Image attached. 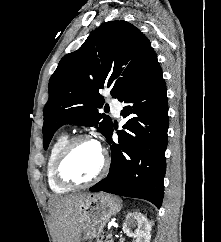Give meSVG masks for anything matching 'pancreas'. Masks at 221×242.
Returning <instances> with one entry per match:
<instances>
[{
  "mask_svg": "<svg viewBox=\"0 0 221 242\" xmlns=\"http://www.w3.org/2000/svg\"><path fill=\"white\" fill-rule=\"evenodd\" d=\"M107 238H108V236H107ZM96 242H113V241L112 240L103 241V239L101 238V239H97Z\"/></svg>",
  "mask_w": 221,
  "mask_h": 242,
  "instance_id": "obj_1",
  "label": "pancreas"
}]
</instances>
